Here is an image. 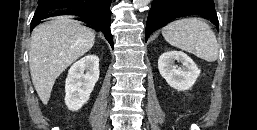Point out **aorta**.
Wrapping results in <instances>:
<instances>
[{"instance_id":"aorta-1","label":"aorta","mask_w":257,"mask_h":130,"mask_svg":"<svg viewBox=\"0 0 257 130\" xmlns=\"http://www.w3.org/2000/svg\"><path fill=\"white\" fill-rule=\"evenodd\" d=\"M148 3V0H133L134 7L138 8Z\"/></svg>"}]
</instances>
